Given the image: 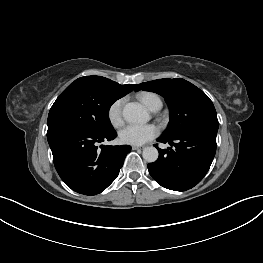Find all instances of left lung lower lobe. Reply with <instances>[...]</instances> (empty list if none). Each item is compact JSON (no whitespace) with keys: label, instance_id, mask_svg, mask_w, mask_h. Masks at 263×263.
Listing matches in <instances>:
<instances>
[{"label":"left lung lower lobe","instance_id":"0a47b994","mask_svg":"<svg viewBox=\"0 0 263 263\" xmlns=\"http://www.w3.org/2000/svg\"><path fill=\"white\" fill-rule=\"evenodd\" d=\"M213 131H190L174 138L160 137L174 148H158L159 158L147 165L150 175L161 186L185 191L197 185L206 175L216 152Z\"/></svg>","mask_w":263,"mask_h":263}]
</instances>
